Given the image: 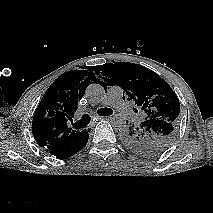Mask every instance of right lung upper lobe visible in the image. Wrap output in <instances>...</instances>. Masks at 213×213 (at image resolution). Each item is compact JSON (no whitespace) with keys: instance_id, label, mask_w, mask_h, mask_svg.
Listing matches in <instances>:
<instances>
[{"instance_id":"1","label":"right lung upper lobe","mask_w":213,"mask_h":213,"mask_svg":"<svg viewBox=\"0 0 213 213\" xmlns=\"http://www.w3.org/2000/svg\"><path fill=\"white\" fill-rule=\"evenodd\" d=\"M88 70H73L61 75L48 88L41 99L32 122V133L37 144L46 151L65 146L76 139L82 131L68 127L77 110V101L85 89L98 80Z\"/></svg>"}]
</instances>
